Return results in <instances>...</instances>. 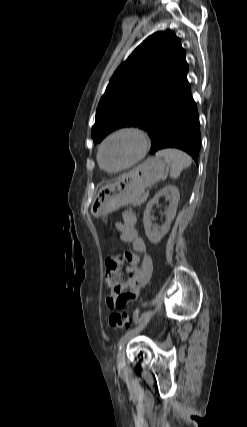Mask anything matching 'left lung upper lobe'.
Masks as SVG:
<instances>
[{
	"mask_svg": "<svg viewBox=\"0 0 247 427\" xmlns=\"http://www.w3.org/2000/svg\"><path fill=\"white\" fill-rule=\"evenodd\" d=\"M185 53L170 30L146 38L115 71L99 102L94 143L120 127L147 130L161 108L189 86Z\"/></svg>",
	"mask_w": 247,
	"mask_h": 427,
	"instance_id": "obj_1",
	"label": "left lung upper lobe"
}]
</instances>
